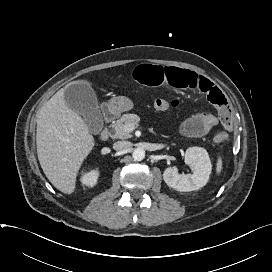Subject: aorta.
<instances>
[{
    "instance_id": "obj_1",
    "label": "aorta",
    "mask_w": 272,
    "mask_h": 272,
    "mask_svg": "<svg viewBox=\"0 0 272 272\" xmlns=\"http://www.w3.org/2000/svg\"><path fill=\"white\" fill-rule=\"evenodd\" d=\"M132 156L134 160L141 161L145 158V150L142 148H136L133 150Z\"/></svg>"
}]
</instances>
